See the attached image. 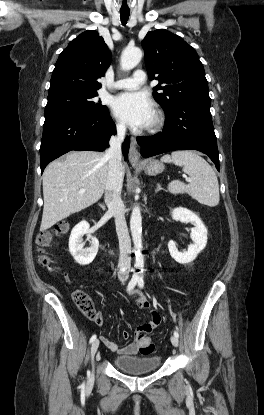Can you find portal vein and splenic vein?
I'll use <instances>...</instances> for the list:
<instances>
[{"label": "portal vein and splenic vein", "mask_w": 264, "mask_h": 415, "mask_svg": "<svg viewBox=\"0 0 264 415\" xmlns=\"http://www.w3.org/2000/svg\"><path fill=\"white\" fill-rule=\"evenodd\" d=\"M186 180H187L188 182H190V181H191V179H190V178H188V177H186ZM84 192H85V190H84V189L80 190V193H84Z\"/></svg>", "instance_id": "1"}]
</instances>
